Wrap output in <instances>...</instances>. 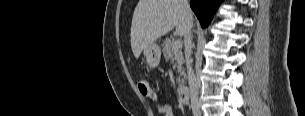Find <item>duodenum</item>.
I'll list each match as a JSON object with an SVG mask.
<instances>
[{"mask_svg":"<svg viewBox=\"0 0 305 116\" xmlns=\"http://www.w3.org/2000/svg\"><path fill=\"white\" fill-rule=\"evenodd\" d=\"M178 98L182 104H189L190 102V95H189V89L187 86L182 85L178 89Z\"/></svg>","mask_w":305,"mask_h":116,"instance_id":"obj_1","label":"duodenum"}]
</instances>
